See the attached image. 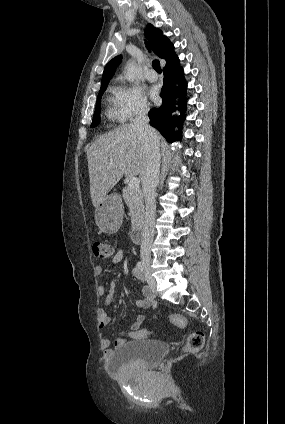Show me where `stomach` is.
<instances>
[{
    "label": "stomach",
    "mask_w": 285,
    "mask_h": 424,
    "mask_svg": "<svg viewBox=\"0 0 285 424\" xmlns=\"http://www.w3.org/2000/svg\"><path fill=\"white\" fill-rule=\"evenodd\" d=\"M123 203L118 195H107L95 209V221L101 231L116 232L123 218Z\"/></svg>",
    "instance_id": "stomach-1"
}]
</instances>
